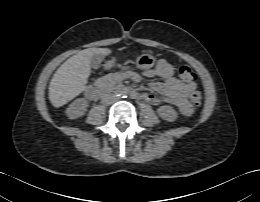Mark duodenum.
Listing matches in <instances>:
<instances>
[{
  "instance_id": "410a0bca",
  "label": "duodenum",
  "mask_w": 260,
  "mask_h": 202,
  "mask_svg": "<svg viewBox=\"0 0 260 202\" xmlns=\"http://www.w3.org/2000/svg\"><path fill=\"white\" fill-rule=\"evenodd\" d=\"M107 90H113L116 92H125L126 94L131 95L133 98H138L139 94L132 88L129 87H118L114 83L109 81H102L97 83V87H88L85 89V95L88 99L94 100L99 95L103 94Z\"/></svg>"
}]
</instances>
